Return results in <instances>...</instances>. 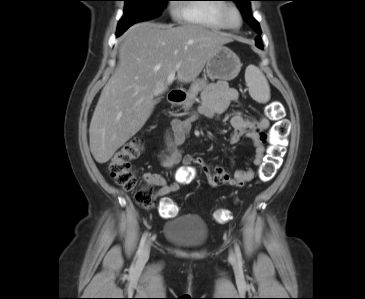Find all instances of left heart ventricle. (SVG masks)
Returning <instances> with one entry per match:
<instances>
[{"label": "left heart ventricle", "instance_id": "obj_1", "mask_svg": "<svg viewBox=\"0 0 365 299\" xmlns=\"http://www.w3.org/2000/svg\"><path fill=\"white\" fill-rule=\"evenodd\" d=\"M229 21L231 24H237V17L234 13L230 14Z\"/></svg>", "mask_w": 365, "mask_h": 299}]
</instances>
